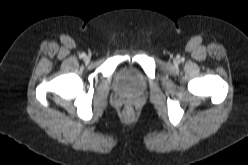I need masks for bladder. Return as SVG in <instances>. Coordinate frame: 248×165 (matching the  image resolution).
<instances>
[{
    "instance_id": "bladder-1",
    "label": "bladder",
    "mask_w": 248,
    "mask_h": 165,
    "mask_svg": "<svg viewBox=\"0 0 248 165\" xmlns=\"http://www.w3.org/2000/svg\"><path fill=\"white\" fill-rule=\"evenodd\" d=\"M117 90L126 96L142 95L147 89V79L144 73L135 66L120 67L114 74Z\"/></svg>"
}]
</instances>
